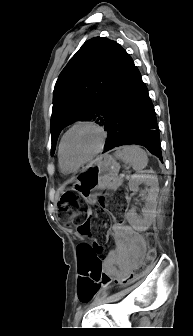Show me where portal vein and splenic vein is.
Returning a JSON list of instances; mask_svg holds the SVG:
<instances>
[{
  "mask_svg": "<svg viewBox=\"0 0 193 336\" xmlns=\"http://www.w3.org/2000/svg\"><path fill=\"white\" fill-rule=\"evenodd\" d=\"M120 176H121V177H125V174H121Z\"/></svg>",
  "mask_w": 193,
  "mask_h": 336,
  "instance_id": "1",
  "label": "portal vein and splenic vein"
}]
</instances>
